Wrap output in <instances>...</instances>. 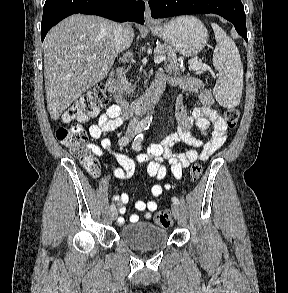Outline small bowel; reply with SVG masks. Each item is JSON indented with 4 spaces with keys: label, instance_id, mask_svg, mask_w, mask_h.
<instances>
[{
    "label": "small bowel",
    "instance_id": "small-bowel-1",
    "mask_svg": "<svg viewBox=\"0 0 288 293\" xmlns=\"http://www.w3.org/2000/svg\"><path fill=\"white\" fill-rule=\"evenodd\" d=\"M162 75V74H159ZM170 84L178 86L181 93L177 97L175 115L178 122L176 131L168 134L160 143L152 144L145 153L139 154L136 159L111 150V141L108 135L118 129L125 117L117 105H111L105 113L101 114L96 124L89 127V134L93 139L100 141V146L91 145L92 152L101 156L103 150H109L114 156L118 166L114 168V175L118 179L130 177L136 168L137 163L145 164L148 176L156 179L158 182L164 180L167 176V168L163 165L165 160L168 161L171 173L176 179L182 177L183 169L187 168L191 163L201 160L206 161L213 155L226 141L227 125L214 109V98L211 91L205 87L203 82L195 77H165ZM190 95H196L199 99V105L188 111L185 105V98ZM193 127L200 130L203 136L207 135L209 128H212L211 137L208 141L192 134ZM186 144L191 149L185 152H178L174 149L177 144ZM201 148V151H197ZM170 188L168 183H156L151 188L153 197H160L163 192ZM117 203L120 224L125 219L123 215L126 213L125 205L129 202V196L122 193L114 197ZM157 202L155 200L142 201L135 203L136 210L144 212L145 218H150L151 214L157 210ZM131 223L139 221V215L134 213L129 217Z\"/></svg>",
    "mask_w": 288,
    "mask_h": 293
}]
</instances>
